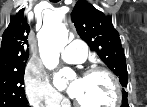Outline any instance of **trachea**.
<instances>
[{
    "mask_svg": "<svg viewBox=\"0 0 147 107\" xmlns=\"http://www.w3.org/2000/svg\"><path fill=\"white\" fill-rule=\"evenodd\" d=\"M53 2H58V0H54Z\"/></svg>",
    "mask_w": 147,
    "mask_h": 107,
    "instance_id": "obj_1",
    "label": "trachea"
}]
</instances>
